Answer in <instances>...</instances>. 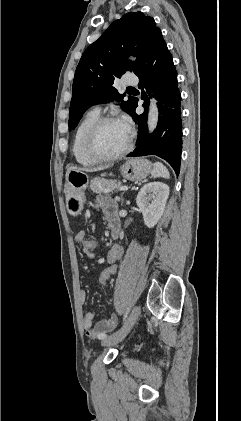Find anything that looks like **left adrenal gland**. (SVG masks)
Returning <instances> with one entry per match:
<instances>
[{
	"label": "left adrenal gland",
	"mask_w": 241,
	"mask_h": 421,
	"mask_svg": "<svg viewBox=\"0 0 241 421\" xmlns=\"http://www.w3.org/2000/svg\"><path fill=\"white\" fill-rule=\"evenodd\" d=\"M123 203V194H121V204Z\"/></svg>",
	"instance_id": "obj_1"
}]
</instances>
